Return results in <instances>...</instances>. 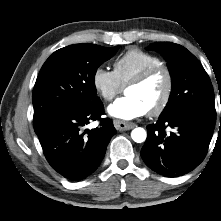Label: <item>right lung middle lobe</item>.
<instances>
[{"instance_id":"right-lung-middle-lobe-1","label":"right lung middle lobe","mask_w":221,"mask_h":221,"mask_svg":"<svg viewBox=\"0 0 221 221\" xmlns=\"http://www.w3.org/2000/svg\"><path fill=\"white\" fill-rule=\"evenodd\" d=\"M119 49L95 44H75L55 51L46 60L33 91L34 130L52 116L96 104L95 74Z\"/></svg>"}]
</instances>
